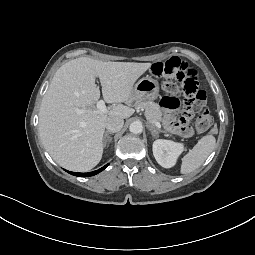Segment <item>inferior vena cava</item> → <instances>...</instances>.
Masks as SVG:
<instances>
[{
	"label": "inferior vena cava",
	"mask_w": 255,
	"mask_h": 255,
	"mask_svg": "<svg viewBox=\"0 0 255 255\" xmlns=\"http://www.w3.org/2000/svg\"><path fill=\"white\" fill-rule=\"evenodd\" d=\"M124 120L118 117L108 118L105 127L109 132L115 133L122 129Z\"/></svg>",
	"instance_id": "1"
}]
</instances>
